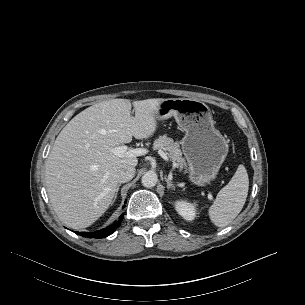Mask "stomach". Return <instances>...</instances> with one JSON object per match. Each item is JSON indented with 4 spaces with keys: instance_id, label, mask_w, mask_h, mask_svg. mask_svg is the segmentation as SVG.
<instances>
[{
    "instance_id": "0dacf381",
    "label": "stomach",
    "mask_w": 305,
    "mask_h": 305,
    "mask_svg": "<svg viewBox=\"0 0 305 305\" xmlns=\"http://www.w3.org/2000/svg\"><path fill=\"white\" fill-rule=\"evenodd\" d=\"M174 116L185 131L181 146L188 162L189 181L197 186L212 182L228 154V143L215 129L210 108L190 98L164 99L156 111V119Z\"/></svg>"
}]
</instances>
